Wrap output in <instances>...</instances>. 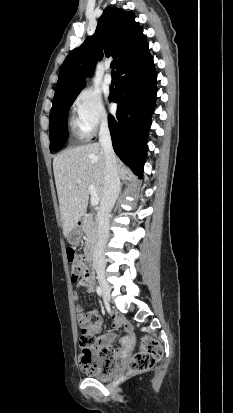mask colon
I'll list each match as a JSON object with an SVG mask.
<instances>
[{"instance_id": "colon-1", "label": "colon", "mask_w": 233, "mask_h": 413, "mask_svg": "<svg viewBox=\"0 0 233 413\" xmlns=\"http://www.w3.org/2000/svg\"><path fill=\"white\" fill-rule=\"evenodd\" d=\"M73 282L88 278L91 268L88 261L74 249L67 250ZM81 347L80 366L88 374H108L115 368V352L110 348H99L96 339L91 335H82L79 339ZM162 356V347L154 338L145 336L140 349L131 358L128 372L136 374L151 369Z\"/></svg>"}]
</instances>
